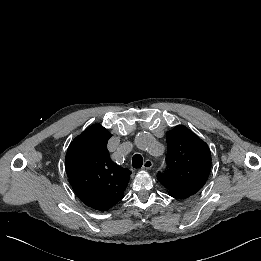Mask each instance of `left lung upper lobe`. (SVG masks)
<instances>
[{
    "label": "left lung upper lobe",
    "instance_id": "5c2ea615",
    "mask_svg": "<svg viewBox=\"0 0 261 261\" xmlns=\"http://www.w3.org/2000/svg\"><path fill=\"white\" fill-rule=\"evenodd\" d=\"M168 170L158 173L159 182L169 195L186 198L197 193L205 184L211 168V153L207 144L183 125L166 134Z\"/></svg>",
    "mask_w": 261,
    "mask_h": 261
}]
</instances>
